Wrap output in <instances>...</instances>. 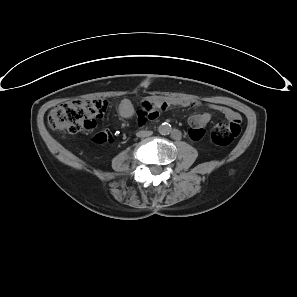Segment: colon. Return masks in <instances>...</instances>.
Listing matches in <instances>:
<instances>
[{"instance_id": "1", "label": "colon", "mask_w": 297, "mask_h": 297, "mask_svg": "<svg viewBox=\"0 0 297 297\" xmlns=\"http://www.w3.org/2000/svg\"><path fill=\"white\" fill-rule=\"evenodd\" d=\"M107 102L101 99H78L56 106L48 115V125L53 130L78 133L85 129H93L97 121L104 115ZM241 117L217 123L211 133L212 141L219 146L230 144L241 131ZM97 143L111 140L109 133L102 132L94 137Z\"/></svg>"}]
</instances>
